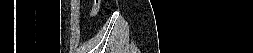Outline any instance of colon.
<instances>
[{
	"label": "colon",
	"mask_w": 253,
	"mask_h": 53,
	"mask_svg": "<svg viewBox=\"0 0 253 53\" xmlns=\"http://www.w3.org/2000/svg\"><path fill=\"white\" fill-rule=\"evenodd\" d=\"M101 0H94L92 7L90 8L89 14L91 17H95L98 14Z\"/></svg>",
	"instance_id": "obj_1"
}]
</instances>
